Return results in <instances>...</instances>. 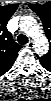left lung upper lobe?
I'll use <instances>...</instances> for the list:
<instances>
[{"label":"left lung upper lobe","mask_w":51,"mask_h":101,"mask_svg":"<svg viewBox=\"0 0 51 101\" xmlns=\"http://www.w3.org/2000/svg\"><path fill=\"white\" fill-rule=\"evenodd\" d=\"M29 7L40 17L43 23V27L48 39L51 37V2H47L43 5L40 4H29ZM46 64L51 62V50L40 57Z\"/></svg>","instance_id":"5c2ea615"}]
</instances>
